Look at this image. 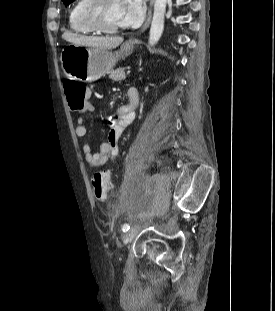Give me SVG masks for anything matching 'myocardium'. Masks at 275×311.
<instances>
[{
    "instance_id": "myocardium-1",
    "label": "myocardium",
    "mask_w": 275,
    "mask_h": 311,
    "mask_svg": "<svg viewBox=\"0 0 275 311\" xmlns=\"http://www.w3.org/2000/svg\"><path fill=\"white\" fill-rule=\"evenodd\" d=\"M109 0H87L80 10L81 19L94 31L103 34H115L123 29V26H108L103 20V12Z\"/></svg>"
}]
</instances>
